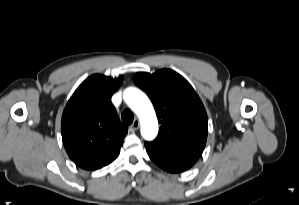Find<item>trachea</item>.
I'll return each instance as SVG.
<instances>
[{"label": "trachea", "mask_w": 299, "mask_h": 205, "mask_svg": "<svg viewBox=\"0 0 299 205\" xmlns=\"http://www.w3.org/2000/svg\"><path fill=\"white\" fill-rule=\"evenodd\" d=\"M121 118L125 125H130L134 120V115L130 109H125L121 114Z\"/></svg>", "instance_id": "trachea-1"}]
</instances>
